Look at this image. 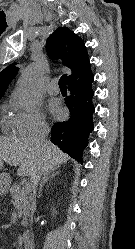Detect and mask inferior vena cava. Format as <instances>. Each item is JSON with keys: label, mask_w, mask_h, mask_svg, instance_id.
Segmentation results:
<instances>
[{"label": "inferior vena cava", "mask_w": 135, "mask_h": 249, "mask_svg": "<svg viewBox=\"0 0 135 249\" xmlns=\"http://www.w3.org/2000/svg\"><path fill=\"white\" fill-rule=\"evenodd\" d=\"M49 128L48 126H42L39 131L33 136V140L41 145V146H45L46 143H47V136L49 134ZM41 175L42 173L41 172H37L36 174H34L32 177H31V188H32V191H33V194H32V206H31V213L33 214V211H34V208L36 206V189H37V185H38V182L41 178Z\"/></svg>", "instance_id": "obj_1"}]
</instances>
